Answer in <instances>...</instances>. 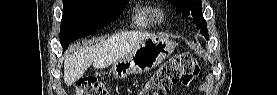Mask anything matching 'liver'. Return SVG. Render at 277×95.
Instances as JSON below:
<instances>
[{
  "mask_svg": "<svg viewBox=\"0 0 277 95\" xmlns=\"http://www.w3.org/2000/svg\"><path fill=\"white\" fill-rule=\"evenodd\" d=\"M155 37L148 32L130 31L115 34L94 45L77 47L64 59V82L72 85L93 65L96 69L106 68L138 46L142 41Z\"/></svg>",
  "mask_w": 277,
  "mask_h": 95,
  "instance_id": "1",
  "label": "liver"
}]
</instances>
